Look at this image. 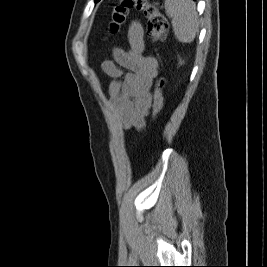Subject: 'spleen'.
I'll use <instances>...</instances> for the list:
<instances>
[{"mask_svg":"<svg viewBox=\"0 0 267 267\" xmlns=\"http://www.w3.org/2000/svg\"><path fill=\"white\" fill-rule=\"evenodd\" d=\"M166 14L172 19L176 39L190 43L199 31L198 13L193 0H165Z\"/></svg>","mask_w":267,"mask_h":267,"instance_id":"spleen-1","label":"spleen"}]
</instances>
